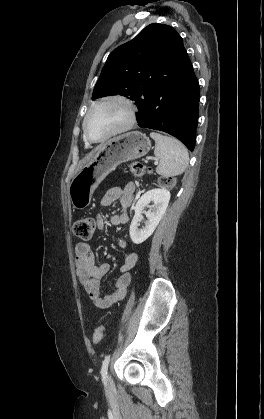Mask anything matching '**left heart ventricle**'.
I'll return each instance as SVG.
<instances>
[{"instance_id":"1","label":"left heart ventricle","mask_w":264,"mask_h":419,"mask_svg":"<svg viewBox=\"0 0 264 419\" xmlns=\"http://www.w3.org/2000/svg\"><path fill=\"white\" fill-rule=\"evenodd\" d=\"M127 120L126 108L117 102L97 107L87 121V131L92 139H100Z\"/></svg>"}]
</instances>
